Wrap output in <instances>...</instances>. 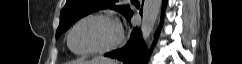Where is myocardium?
<instances>
[{"instance_id": "f54148a6", "label": "myocardium", "mask_w": 242, "mask_h": 64, "mask_svg": "<svg viewBox=\"0 0 242 64\" xmlns=\"http://www.w3.org/2000/svg\"><path fill=\"white\" fill-rule=\"evenodd\" d=\"M90 19H103V20L111 22L116 27L117 36L111 43H109L105 46L94 48V49H89V50H85V51H80V52L75 51L71 45L72 35H73L75 29L81 23H83L84 21L90 20ZM123 39H124L123 28H122L120 21L116 17H114L110 14H106V13H90V14L82 16L72 25V27L67 35V45H68V48L74 54H76L78 56H87V55L102 54V53H107V52L113 51L114 49H116L117 47H119L121 45V43L123 42Z\"/></svg>"}]
</instances>
